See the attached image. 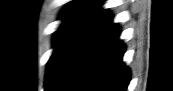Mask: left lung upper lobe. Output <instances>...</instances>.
<instances>
[{"mask_svg":"<svg viewBox=\"0 0 173 91\" xmlns=\"http://www.w3.org/2000/svg\"><path fill=\"white\" fill-rule=\"evenodd\" d=\"M102 0H76L63 11L64 23L54 36L55 50L47 63L45 89L51 91L69 57L97 23L108 13Z\"/></svg>","mask_w":173,"mask_h":91,"instance_id":"5c2ea615","label":"left lung upper lobe"}]
</instances>
